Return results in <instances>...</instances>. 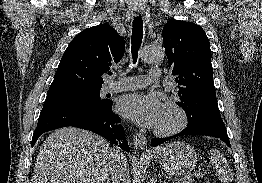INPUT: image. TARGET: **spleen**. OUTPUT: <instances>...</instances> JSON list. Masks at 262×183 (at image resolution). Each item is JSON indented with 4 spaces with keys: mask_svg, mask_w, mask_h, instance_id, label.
Instances as JSON below:
<instances>
[{
    "mask_svg": "<svg viewBox=\"0 0 262 183\" xmlns=\"http://www.w3.org/2000/svg\"><path fill=\"white\" fill-rule=\"evenodd\" d=\"M209 159L217 171L218 178L223 183L233 181V172L226 158L217 149L210 150Z\"/></svg>",
    "mask_w": 262,
    "mask_h": 183,
    "instance_id": "1",
    "label": "spleen"
}]
</instances>
